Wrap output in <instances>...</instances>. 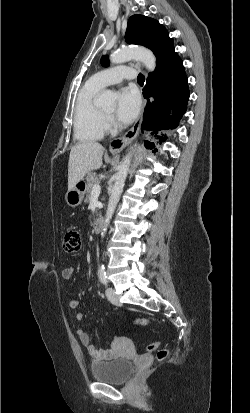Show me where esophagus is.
Here are the masks:
<instances>
[{
    "mask_svg": "<svg viewBox=\"0 0 250 413\" xmlns=\"http://www.w3.org/2000/svg\"><path fill=\"white\" fill-rule=\"evenodd\" d=\"M145 105H146V102H143L141 113H140L138 119L135 121L132 128L130 130H128L123 136H121L119 138H115L110 142L109 150L112 153L121 152L137 136L138 131H139L140 126H141V123H142Z\"/></svg>",
    "mask_w": 250,
    "mask_h": 413,
    "instance_id": "1",
    "label": "esophagus"
}]
</instances>
